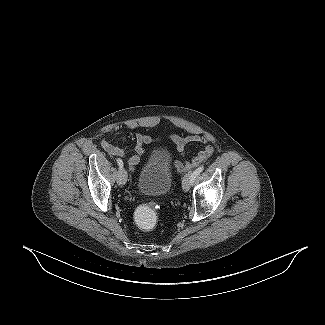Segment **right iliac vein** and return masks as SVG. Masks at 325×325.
<instances>
[{"label": "right iliac vein", "mask_w": 325, "mask_h": 325, "mask_svg": "<svg viewBox=\"0 0 325 325\" xmlns=\"http://www.w3.org/2000/svg\"><path fill=\"white\" fill-rule=\"evenodd\" d=\"M117 182L119 185L123 186L127 182V172L125 169L120 168L118 171Z\"/></svg>", "instance_id": "obj_1"}]
</instances>
